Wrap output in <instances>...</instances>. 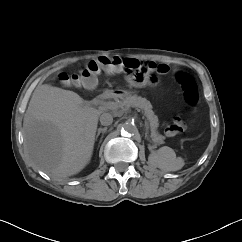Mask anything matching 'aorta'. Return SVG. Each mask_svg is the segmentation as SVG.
Returning <instances> with one entry per match:
<instances>
[{
    "label": "aorta",
    "instance_id": "762f6f07",
    "mask_svg": "<svg viewBox=\"0 0 242 242\" xmlns=\"http://www.w3.org/2000/svg\"><path fill=\"white\" fill-rule=\"evenodd\" d=\"M122 130L129 134H135L138 131L136 125L130 121L124 123Z\"/></svg>",
    "mask_w": 242,
    "mask_h": 242
}]
</instances>
